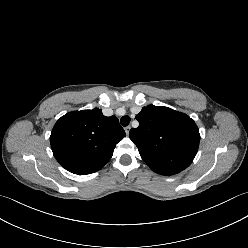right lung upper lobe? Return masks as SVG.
<instances>
[{"mask_svg":"<svg viewBox=\"0 0 248 248\" xmlns=\"http://www.w3.org/2000/svg\"><path fill=\"white\" fill-rule=\"evenodd\" d=\"M125 136L117 117H106L101 109L95 108L62 116L53 127L50 143L62 167L86 175L100 170Z\"/></svg>","mask_w":248,"mask_h":248,"instance_id":"cb5924a9","label":"right lung upper lobe"}]
</instances>
